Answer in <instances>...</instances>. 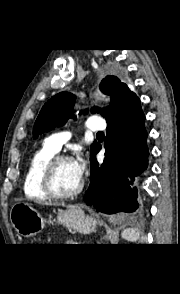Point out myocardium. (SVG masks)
<instances>
[{"mask_svg":"<svg viewBox=\"0 0 180 294\" xmlns=\"http://www.w3.org/2000/svg\"><path fill=\"white\" fill-rule=\"evenodd\" d=\"M64 161H70V158L65 155H55L48 161L41 172V188L44 193L52 199L65 200L74 198L79 195L84 188V182L81 180L79 186L71 192L60 193L55 189L53 185L54 174L58 165Z\"/></svg>","mask_w":180,"mask_h":294,"instance_id":"1","label":"myocardium"}]
</instances>
